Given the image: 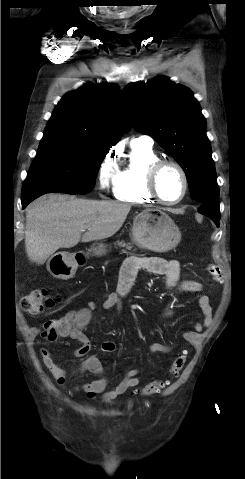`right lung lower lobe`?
Returning a JSON list of instances; mask_svg holds the SVG:
<instances>
[{"label":"right lung lower lobe","instance_id":"obj_1","mask_svg":"<svg viewBox=\"0 0 245 479\" xmlns=\"http://www.w3.org/2000/svg\"><path fill=\"white\" fill-rule=\"evenodd\" d=\"M45 194V192H36V193H30L25 196H22V207L23 209L35 198Z\"/></svg>","mask_w":245,"mask_h":479}]
</instances>
